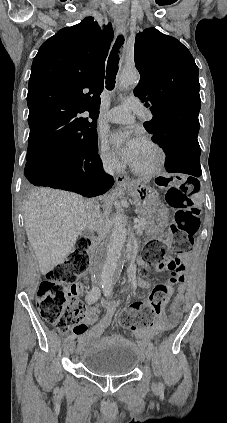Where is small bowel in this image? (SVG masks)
I'll return each instance as SVG.
<instances>
[{"label": "small bowel", "mask_w": 227, "mask_h": 423, "mask_svg": "<svg viewBox=\"0 0 227 423\" xmlns=\"http://www.w3.org/2000/svg\"><path fill=\"white\" fill-rule=\"evenodd\" d=\"M138 263L144 269L149 268L148 264L142 259L138 260ZM182 265L184 269V264L182 263ZM142 284L143 286H149L150 282L143 279ZM81 292L82 287L79 286L78 294ZM183 304V288H180L177 297L170 306V316H167L162 312L156 316L151 325L137 329L134 332V335L139 339V345L145 346L147 341L153 336L173 329L178 324L182 316ZM101 306L106 309V314L99 320V322L96 323L99 314V306L92 305L88 308H85V316L83 321L76 324L73 328L74 335L78 337L80 351L87 350L88 347L93 345L100 338L102 333L110 326L113 315L118 308V303L115 301L104 300L101 302ZM89 325L93 326L88 330ZM113 341L114 339L112 338H105L103 343L106 344Z\"/></svg>", "instance_id": "small-bowel-1"}]
</instances>
